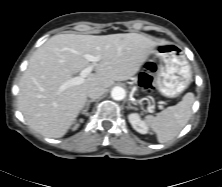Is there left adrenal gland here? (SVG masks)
Returning a JSON list of instances; mask_svg holds the SVG:
<instances>
[{
	"label": "left adrenal gland",
	"mask_w": 222,
	"mask_h": 187,
	"mask_svg": "<svg viewBox=\"0 0 222 187\" xmlns=\"http://www.w3.org/2000/svg\"><path fill=\"white\" fill-rule=\"evenodd\" d=\"M127 108H128V109H133L134 107H133V106L131 105V103L129 102Z\"/></svg>",
	"instance_id": "a2214340"
}]
</instances>
